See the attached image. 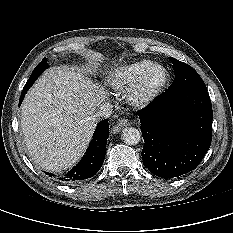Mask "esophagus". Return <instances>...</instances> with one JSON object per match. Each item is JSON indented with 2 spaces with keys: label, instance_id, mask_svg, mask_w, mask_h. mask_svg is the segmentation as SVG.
I'll use <instances>...</instances> for the list:
<instances>
[{
  "label": "esophagus",
  "instance_id": "esophagus-1",
  "mask_svg": "<svg viewBox=\"0 0 233 233\" xmlns=\"http://www.w3.org/2000/svg\"><path fill=\"white\" fill-rule=\"evenodd\" d=\"M130 123L128 120L126 119H122L121 121H119L112 129L113 132H118L121 128L127 127L129 126Z\"/></svg>",
  "mask_w": 233,
  "mask_h": 233
}]
</instances>
